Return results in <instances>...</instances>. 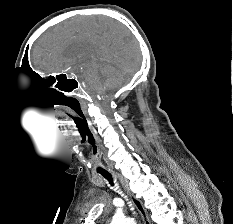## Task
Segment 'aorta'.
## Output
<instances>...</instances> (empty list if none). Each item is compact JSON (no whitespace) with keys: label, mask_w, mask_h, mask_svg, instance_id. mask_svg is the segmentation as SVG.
<instances>
[{"label":"aorta","mask_w":233,"mask_h":224,"mask_svg":"<svg viewBox=\"0 0 233 224\" xmlns=\"http://www.w3.org/2000/svg\"><path fill=\"white\" fill-rule=\"evenodd\" d=\"M111 224H136L134 219L126 218L124 216H115L111 222Z\"/></svg>","instance_id":"aorta-1"}]
</instances>
